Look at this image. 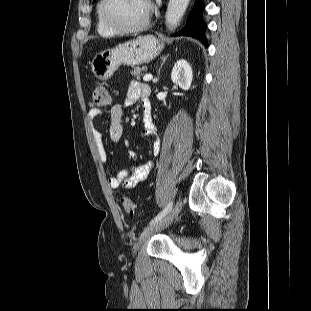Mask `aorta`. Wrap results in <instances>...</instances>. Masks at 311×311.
Wrapping results in <instances>:
<instances>
[{"instance_id":"obj_1","label":"aorta","mask_w":311,"mask_h":311,"mask_svg":"<svg viewBox=\"0 0 311 311\" xmlns=\"http://www.w3.org/2000/svg\"><path fill=\"white\" fill-rule=\"evenodd\" d=\"M190 0H169L165 19L166 26L173 30L183 17Z\"/></svg>"}]
</instances>
